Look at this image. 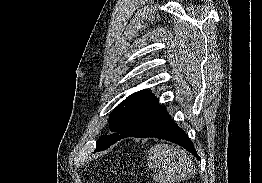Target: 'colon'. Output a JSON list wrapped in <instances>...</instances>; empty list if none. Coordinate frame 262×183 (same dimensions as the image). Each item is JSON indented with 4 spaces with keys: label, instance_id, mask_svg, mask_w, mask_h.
<instances>
[{
    "label": "colon",
    "instance_id": "5ec220e1",
    "mask_svg": "<svg viewBox=\"0 0 262 183\" xmlns=\"http://www.w3.org/2000/svg\"><path fill=\"white\" fill-rule=\"evenodd\" d=\"M139 183H148V182L145 180H141Z\"/></svg>",
    "mask_w": 262,
    "mask_h": 183
}]
</instances>
